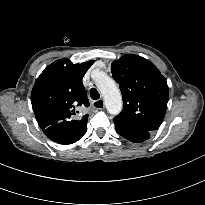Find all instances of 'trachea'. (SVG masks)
Returning <instances> with one entry per match:
<instances>
[{
	"label": "trachea",
	"mask_w": 205,
	"mask_h": 205,
	"mask_svg": "<svg viewBox=\"0 0 205 205\" xmlns=\"http://www.w3.org/2000/svg\"><path fill=\"white\" fill-rule=\"evenodd\" d=\"M90 96L93 100H97L100 98V94L98 93V91L95 88H91Z\"/></svg>",
	"instance_id": "trachea-1"
}]
</instances>
